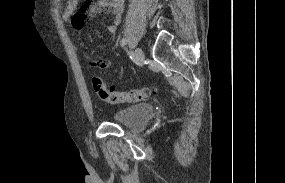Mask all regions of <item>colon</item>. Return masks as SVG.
<instances>
[{"mask_svg":"<svg viewBox=\"0 0 285 183\" xmlns=\"http://www.w3.org/2000/svg\"><path fill=\"white\" fill-rule=\"evenodd\" d=\"M92 87L97 96L106 103H134L149 98L153 91L148 87L132 89L128 91L116 90L109 87L108 84L99 76L92 77Z\"/></svg>","mask_w":285,"mask_h":183,"instance_id":"5ec220e1","label":"colon"}]
</instances>
